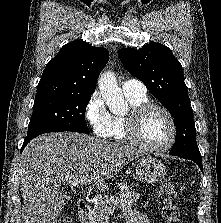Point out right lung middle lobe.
<instances>
[{"mask_svg": "<svg viewBox=\"0 0 221 223\" xmlns=\"http://www.w3.org/2000/svg\"><path fill=\"white\" fill-rule=\"evenodd\" d=\"M90 99L91 94L35 100L26 139L48 132L73 131L89 134L85 111Z\"/></svg>", "mask_w": 221, "mask_h": 223, "instance_id": "obj_1", "label": "right lung middle lobe"}]
</instances>
